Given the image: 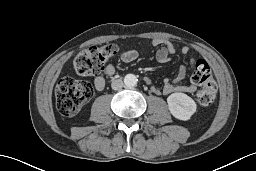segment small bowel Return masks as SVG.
Returning a JSON list of instances; mask_svg holds the SVG:
<instances>
[{
    "instance_id": "c3829d8e",
    "label": "small bowel",
    "mask_w": 256,
    "mask_h": 171,
    "mask_svg": "<svg viewBox=\"0 0 256 171\" xmlns=\"http://www.w3.org/2000/svg\"><path fill=\"white\" fill-rule=\"evenodd\" d=\"M152 44L157 47L156 59L159 63H167L170 60V56L177 51L176 46L169 40L163 38H156L152 41ZM181 53L187 55L190 53V48L184 46L181 48ZM137 58V52L135 50H129L122 54L121 59L123 62H132ZM115 67L111 64L106 65L102 72L94 79V87L97 91H101L105 87L106 77H111L115 74ZM187 74V67L182 66L178 76L174 79L165 80L161 89L153 85L152 80H148L151 85V91L154 94L168 95L174 92H193L195 90L194 85L183 86L181 82L185 79Z\"/></svg>"
}]
</instances>
